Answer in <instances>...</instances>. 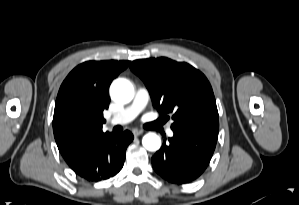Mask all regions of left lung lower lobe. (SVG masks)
Segmentation results:
<instances>
[{"label":"left lung lower lobe","mask_w":299,"mask_h":205,"mask_svg":"<svg viewBox=\"0 0 299 205\" xmlns=\"http://www.w3.org/2000/svg\"><path fill=\"white\" fill-rule=\"evenodd\" d=\"M174 136L152 157L154 170L175 184L189 183L207 168L215 150L219 129L173 130Z\"/></svg>","instance_id":"1"}]
</instances>
